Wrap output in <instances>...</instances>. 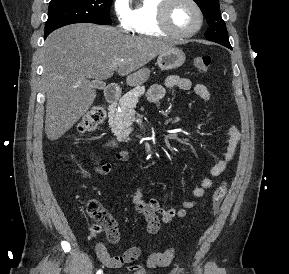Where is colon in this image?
<instances>
[{"mask_svg":"<svg viewBox=\"0 0 289 274\" xmlns=\"http://www.w3.org/2000/svg\"><path fill=\"white\" fill-rule=\"evenodd\" d=\"M194 68L199 73H206L211 65V57L202 55L194 58ZM106 119V110L102 105L93 106L78 123V131L80 133H91L95 131ZM227 193V184L221 183L214 191L212 196L211 211L215 213L223 202ZM86 210L90 218L93 220L92 231L99 233L105 231L107 236H114L118 230L115 220L104 209L101 203L96 199L87 202ZM173 252L167 250L164 252H156L150 255L146 262V267L154 268L168 265L173 259ZM131 271L136 274H145L143 268L139 265H131Z\"/></svg>","mask_w":289,"mask_h":274,"instance_id":"1","label":"colon"}]
</instances>
